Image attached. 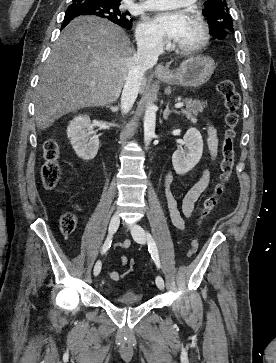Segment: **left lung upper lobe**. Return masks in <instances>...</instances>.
I'll return each instance as SVG.
<instances>
[{
    "instance_id": "1",
    "label": "left lung upper lobe",
    "mask_w": 276,
    "mask_h": 363,
    "mask_svg": "<svg viewBox=\"0 0 276 363\" xmlns=\"http://www.w3.org/2000/svg\"><path fill=\"white\" fill-rule=\"evenodd\" d=\"M203 15L208 20L210 34L223 39L234 33L232 17L226 0H208L204 3Z\"/></svg>"
}]
</instances>
